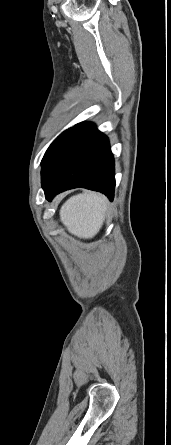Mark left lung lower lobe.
<instances>
[{"label": "left lung lower lobe", "instance_id": "0a47b994", "mask_svg": "<svg viewBox=\"0 0 171 445\" xmlns=\"http://www.w3.org/2000/svg\"><path fill=\"white\" fill-rule=\"evenodd\" d=\"M114 159L108 138L92 123L69 129L42 164L45 196L84 187L104 193L111 201L115 188Z\"/></svg>", "mask_w": 171, "mask_h": 445}]
</instances>
